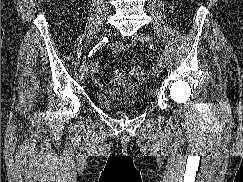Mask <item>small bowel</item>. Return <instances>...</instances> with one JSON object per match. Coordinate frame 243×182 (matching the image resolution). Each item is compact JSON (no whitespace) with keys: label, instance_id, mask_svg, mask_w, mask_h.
I'll list each match as a JSON object with an SVG mask.
<instances>
[{"label":"small bowel","instance_id":"obj_1","mask_svg":"<svg viewBox=\"0 0 243 182\" xmlns=\"http://www.w3.org/2000/svg\"><path fill=\"white\" fill-rule=\"evenodd\" d=\"M123 49L122 45L116 43L111 46V50L113 53H118ZM92 73L93 78L98 86H102V82L99 79V72H100V61L97 59L92 64ZM112 84L114 86L113 90H109L113 93H120V92H130L134 89V84L125 76L124 72L119 70L116 71L112 77Z\"/></svg>","mask_w":243,"mask_h":182}]
</instances>
